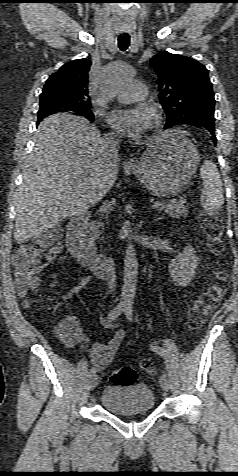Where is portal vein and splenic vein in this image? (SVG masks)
<instances>
[{
    "label": "portal vein and splenic vein",
    "instance_id": "portal-vein-and-splenic-vein-1",
    "mask_svg": "<svg viewBox=\"0 0 238 476\" xmlns=\"http://www.w3.org/2000/svg\"><path fill=\"white\" fill-rule=\"evenodd\" d=\"M160 205H161L160 202H153V203H151V207H153V208H157V207L160 206Z\"/></svg>",
    "mask_w": 238,
    "mask_h": 476
}]
</instances>
